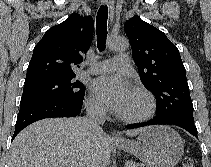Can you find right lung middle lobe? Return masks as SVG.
<instances>
[{
	"label": "right lung middle lobe",
	"instance_id": "obj_1",
	"mask_svg": "<svg viewBox=\"0 0 211 167\" xmlns=\"http://www.w3.org/2000/svg\"><path fill=\"white\" fill-rule=\"evenodd\" d=\"M75 76H48L25 81L20 104L42 101H77L84 85Z\"/></svg>",
	"mask_w": 211,
	"mask_h": 167
}]
</instances>
